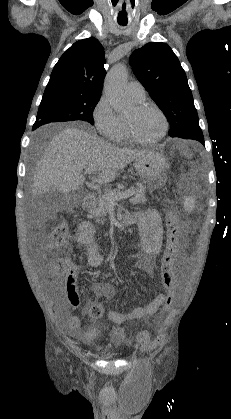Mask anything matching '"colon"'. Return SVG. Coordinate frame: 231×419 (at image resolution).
<instances>
[{"label": "colon", "mask_w": 231, "mask_h": 419, "mask_svg": "<svg viewBox=\"0 0 231 419\" xmlns=\"http://www.w3.org/2000/svg\"><path fill=\"white\" fill-rule=\"evenodd\" d=\"M167 226V245L164 246V253L161 256V271L159 279L165 293L163 302L165 304H172L174 302V295L179 291V283L175 276L174 265L178 259L180 242L178 240V214L175 211H170L166 217ZM68 226L66 223L57 224L52 231V241L45 249V259L52 267V271L57 276H63L67 285L73 286L74 268L69 261V254L71 251L70 243L67 241ZM91 315L99 318L104 313V307L100 303H96L91 307ZM113 338L116 341L126 340V335L121 328L113 330ZM137 338L141 345L147 346L150 344L149 336L146 331L138 333ZM162 341V336L156 337L154 343L159 344Z\"/></svg>", "instance_id": "obj_1"}]
</instances>
